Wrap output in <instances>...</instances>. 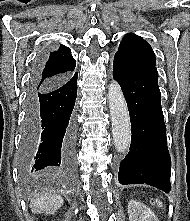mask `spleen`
<instances>
[{
	"label": "spleen",
	"mask_w": 190,
	"mask_h": 221,
	"mask_svg": "<svg viewBox=\"0 0 190 221\" xmlns=\"http://www.w3.org/2000/svg\"><path fill=\"white\" fill-rule=\"evenodd\" d=\"M156 203L158 204L159 207H162V206H163V205H162V202H160V200H158V199L156 200Z\"/></svg>",
	"instance_id": "1"
}]
</instances>
